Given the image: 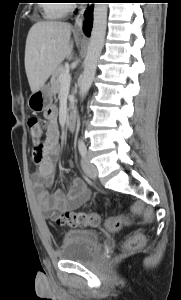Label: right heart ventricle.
Listing matches in <instances>:
<instances>
[{"label":"right heart ventricle","mask_w":181,"mask_h":300,"mask_svg":"<svg viewBox=\"0 0 181 300\" xmlns=\"http://www.w3.org/2000/svg\"><path fill=\"white\" fill-rule=\"evenodd\" d=\"M49 3H45L42 6L44 16L47 19H58L63 17L67 11L68 6L61 2V0H46Z\"/></svg>","instance_id":"e07e8e85"}]
</instances>
